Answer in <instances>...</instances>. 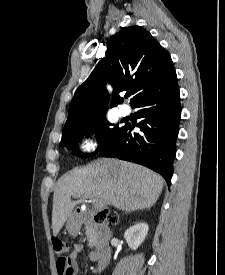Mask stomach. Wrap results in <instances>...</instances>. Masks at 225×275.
<instances>
[{"instance_id":"stomach-1","label":"stomach","mask_w":225,"mask_h":275,"mask_svg":"<svg viewBox=\"0 0 225 275\" xmlns=\"http://www.w3.org/2000/svg\"><path fill=\"white\" fill-rule=\"evenodd\" d=\"M80 226L77 224L76 220L73 217H70L67 221V229L69 233L76 234Z\"/></svg>"}]
</instances>
